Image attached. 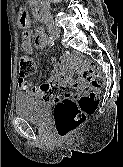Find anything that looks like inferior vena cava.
<instances>
[{
    "mask_svg": "<svg viewBox=\"0 0 123 167\" xmlns=\"http://www.w3.org/2000/svg\"><path fill=\"white\" fill-rule=\"evenodd\" d=\"M43 5H44L43 9H44L46 12H49V8H48L47 4L44 2Z\"/></svg>",
    "mask_w": 123,
    "mask_h": 167,
    "instance_id": "obj_1",
    "label": "inferior vena cava"
}]
</instances>
